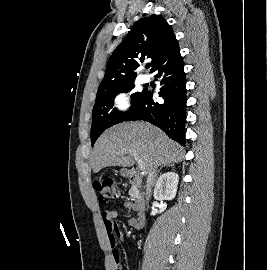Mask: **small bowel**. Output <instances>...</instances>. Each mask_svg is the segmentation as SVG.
<instances>
[{"instance_id":"obj_1","label":"small bowel","mask_w":267,"mask_h":270,"mask_svg":"<svg viewBox=\"0 0 267 270\" xmlns=\"http://www.w3.org/2000/svg\"><path fill=\"white\" fill-rule=\"evenodd\" d=\"M119 205L126 210L135 209L134 205L128 201H122L119 203ZM117 215L118 214L116 211H107L104 213V225L109 236V241L113 248L116 245V241L118 239H121L123 236L120 228L114 223V219L117 217ZM129 224L130 226L134 227L137 230H142L144 228V219L141 215H138L136 217H132L129 220ZM114 261L115 266L118 268L115 250H114Z\"/></svg>"}]
</instances>
